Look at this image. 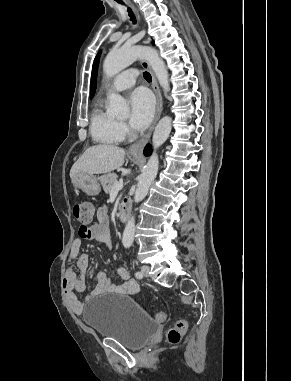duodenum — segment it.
Masks as SVG:
<instances>
[{"label":"duodenum","instance_id":"duodenum-1","mask_svg":"<svg viewBox=\"0 0 291 381\" xmlns=\"http://www.w3.org/2000/svg\"><path fill=\"white\" fill-rule=\"evenodd\" d=\"M130 202L124 200L121 202L119 208V217L122 222H126L129 218Z\"/></svg>","mask_w":291,"mask_h":381}]
</instances>
